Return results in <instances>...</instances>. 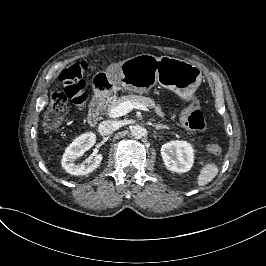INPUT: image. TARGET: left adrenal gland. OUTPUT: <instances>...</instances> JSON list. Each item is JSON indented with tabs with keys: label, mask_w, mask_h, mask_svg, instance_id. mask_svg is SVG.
<instances>
[{
	"label": "left adrenal gland",
	"mask_w": 266,
	"mask_h": 266,
	"mask_svg": "<svg viewBox=\"0 0 266 266\" xmlns=\"http://www.w3.org/2000/svg\"><path fill=\"white\" fill-rule=\"evenodd\" d=\"M155 130H168L169 128L167 126H162V125H153Z\"/></svg>",
	"instance_id": "1"
}]
</instances>
